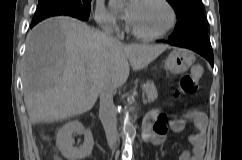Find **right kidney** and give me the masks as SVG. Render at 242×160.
Returning a JSON list of instances; mask_svg holds the SVG:
<instances>
[{"label": "right kidney", "mask_w": 242, "mask_h": 160, "mask_svg": "<svg viewBox=\"0 0 242 160\" xmlns=\"http://www.w3.org/2000/svg\"><path fill=\"white\" fill-rule=\"evenodd\" d=\"M73 133L84 135V143L80 147L74 146ZM56 144L65 158L80 160L91 154L94 141L90 130H86L79 121H72L58 131Z\"/></svg>", "instance_id": "obj_1"}]
</instances>
